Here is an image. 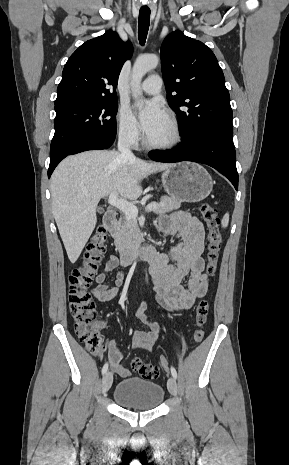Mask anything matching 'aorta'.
<instances>
[{"instance_id":"1","label":"aorta","mask_w":289,"mask_h":465,"mask_svg":"<svg viewBox=\"0 0 289 465\" xmlns=\"http://www.w3.org/2000/svg\"><path fill=\"white\" fill-rule=\"evenodd\" d=\"M159 63V58L156 55H144L136 59L133 69H132V78H131V89L132 96L135 99H138L142 92L140 84L143 76L150 70L157 67Z\"/></svg>"}]
</instances>
